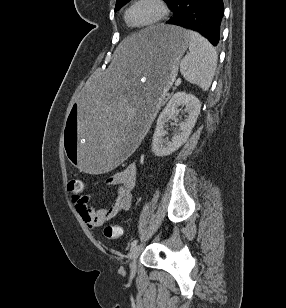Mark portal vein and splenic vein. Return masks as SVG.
I'll return each mask as SVG.
<instances>
[{
  "mask_svg": "<svg viewBox=\"0 0 286 308\" xmlns=\"http://www.w3.org/2000/svg\"><path fill=\"white\" fill-rule=\"evenodd\" d=\"M180 84H181V79L180 78L176 79L175 86H179Z\"/></svg>",
  "mask_w": 286,
  "mask_h": 308,
  "instance_id": "portal-vein-and-splenic-vein-1",
  "label": "portal vein and splenic vein"
}]
</instances>
